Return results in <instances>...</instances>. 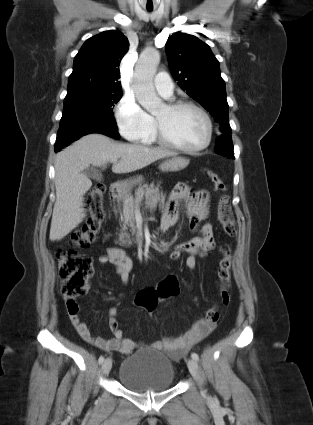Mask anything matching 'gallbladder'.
<instances>
[{
	"label": "gallbladder",
	"instance_id": "gallbladder-1",
	"mask_svg": "<svg viewBox=\"0 0 313 425\" xmlns=\"http://www.w3.org/2000/svg\"><path fill=\"white\" fill-rule=\"evenodd\" d=\"M85 174L88 177H91V178H93V179H95L96 181H99V182L103 179L101 173L98 170H96L95 168H92V167L87 168L85 170Z\"/></svg>",
	"mask_w": 313,
	"mask_h": 425
}]
</instances>
